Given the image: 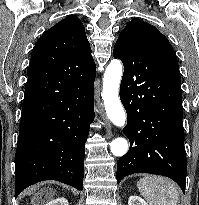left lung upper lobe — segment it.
Instances as JSON below:
<instances>
[{
	"label": "left lung upper lobe",
	"instance_id": "left-lung-upper-lobe-1",
	"mask_svg": "<svg viewBox=\"0 0 199 205\" xmlns=\"http://www.w3.org/2000/svg\"><path fill=\"white\" fill-rule=\"evenodd\" d=\"M119 37L127 38L136 46L153 54L180 84L181 77L175 51L157 28L140 19H133L121 31Z\"/></svg>",
	"mask_w": 199,
	"mask_h": 205
}]
</instances>
